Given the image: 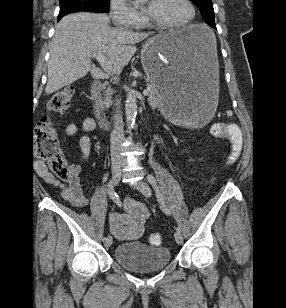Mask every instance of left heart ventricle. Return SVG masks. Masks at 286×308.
Wrapping results in <instances>:
<instances>
[{"label":"left heart ventricle","instance_id":"b2bd125f","mask_svg":"<svg viewBox=\"0 0 286 308\" xmlns=\"http://www.w3.org/2000/svg\"><path fill=\"white\" fill-rule=\"evenodd\" d=\"M146 9L150 17L168 24L183 23L191 16L185 0H152L146 4Z\"/></svg>","mask_w":286,"mask_h":308}]
</instances>
